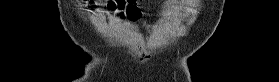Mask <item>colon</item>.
<instances>
[{"label":"colon","instance_id":"5ec220e1","mask_svg":"<svg viewBox=\"0 0 279 82\" xmlns=\"http://www.w3.org/2000/svg\"><path fill=\"white\" fill-rule=\"evenodd\" d=\"M127 17L132 21H136L141 17V12L138 8L131 6L127 9Z\"/></svg>","mask_w":279,"mask_h":82}]
</instances>
